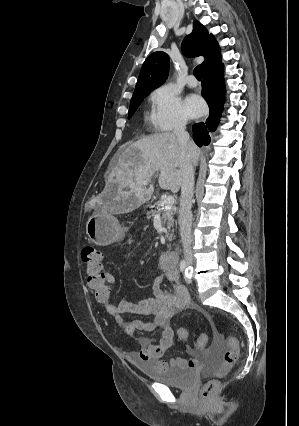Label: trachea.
<instances>
[{
  "label": "trachea",
  "instance_id": "obj_1",
  "mask_svg": "<svg viewBox=\"0 0 299 426\" xmlns=\"http://www.w3.org/2000/svg\"><path fill=\"white\" fill-rule=\"evenodd\" d=\"M194 75L198 80L202 79V68L200 65H198L195 69H194Z\"/></svg>",
  "mask_w": 299,
  "mask_h": 426
}]
</instances>
